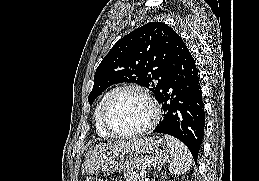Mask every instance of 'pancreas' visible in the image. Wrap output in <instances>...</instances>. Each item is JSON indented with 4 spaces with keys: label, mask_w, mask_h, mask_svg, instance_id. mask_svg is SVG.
I'll return each mask as SVG.
<instances>
[{
    "label": "pancreas",
    "mask_w": 259,
    "mask_h": 181,
    "mask_svg": "<svg viewBox=\"0 0 259 181\" xmlns=\"http://www.w3.org/2000/svg\"><path fill=\"white\" fill-rule=\"evenodd\" d=\"M124 178L126 181H141L139 174L135 171L124 172Z\"/></svg>",
    "instance_id": "obj_1"
}]
</instances>
